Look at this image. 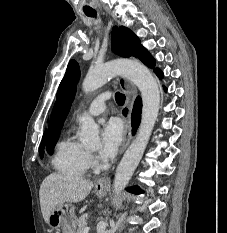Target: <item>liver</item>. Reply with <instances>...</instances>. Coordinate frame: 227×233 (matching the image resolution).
<instances>
[{"label":"liver","instance_id":"liver-1","mask_svg":"<svg viewBox=\"0 0 227 233\" xmlns=\"http://www.w3.org/2000/svg\"><path fill=\"white\" fill-rule=\"evenodd\" d=\"M94 184L83 178L52 173L42 182L39 190L41 212L47 224L50 215L65 203L84 200Z\"/></svg>","mask_w":227,"mask_h":233}]
</instances>
